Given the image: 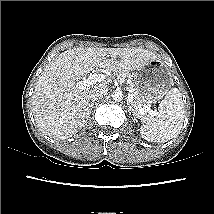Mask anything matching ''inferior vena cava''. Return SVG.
Here are the masks:
<instances>
[{"label":"inferior vena cava","instance_id":"602c4592","mask_svg":"<svg viewBox=\"0 0 214 214\" xmlns=\"http://www.w3.org/2000/svg\"><path fill=\"white\" fill-rule=\"evenodd\" d=\"M108 92V87L105 84L95 87L90 93V100L92 102L102 99Z\"/></svg>","mask_w":214,"mask_h":214}]
</instances>
